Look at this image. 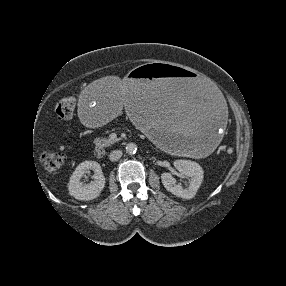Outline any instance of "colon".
I'll return each instance as SVG.
<instances>
[{"label": "colon", "mask_w": 286, "mask_h": 286, "mask_svg": "<svg viewBox=\"0 0 286 286\" xmlns=\"http://www.w3.org/2000/svg\"><path fill=\"white\" fill-rule=\"evenodd\" d=\"M76 107V99L72 96L63 97L55 107V112L60 120L71 118ZM41 163L49 172L57 171L65 162V155L59 151H44L41 154Z\"/></svg>", "instance_id": "1"}]
</instances>
